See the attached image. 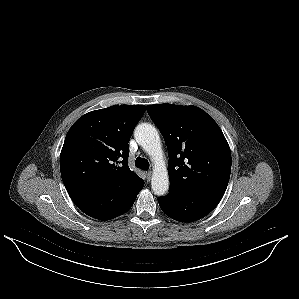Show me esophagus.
Instances as JSON below:
<instances>
[{"label":"esophagus","instance_id":"esophagus-1","mask_svg":"<svg viewBox=\"0 0 299 299\" xmlns=\"http://www.w3.org/2000/svg\"><path fill=\"white\" fill-rule=\"evenodd\" d=\"M145 176H146V180H147V181H150L151 176H152V173H151L150 171H147V172L145 173Z\"/></svg>","mask_w":299,"mask_h":299}]
</instances>
